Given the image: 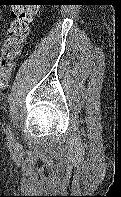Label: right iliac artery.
I'll use <instances>...</instances> for the list:
<instances>
[{
	"label": "right iliac artery",
	"mask_w": 121,
	"mask_h": 197,
	"mask_svg": "<svg viewBox=\"0 0 121 197\" xmlns=\"http://www.w3.org/2000/svg\"><path fill=\"white\" fill-rule=\"evenodd\" d=\"M6 134H7L9 147H12L14 145V137H13V134H12L10 128H7Z\"/></svg>",
	"instance_id": "82829eb1"
}]
</instances>
